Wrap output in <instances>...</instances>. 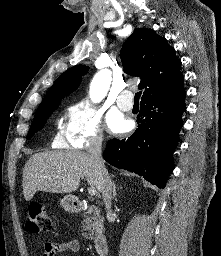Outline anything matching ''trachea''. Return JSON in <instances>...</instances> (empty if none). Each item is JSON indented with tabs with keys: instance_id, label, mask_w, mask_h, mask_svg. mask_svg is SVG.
<instances>
[{
	"instance_id": "obj_1",
	"label": "trachea",
	"mask_w": 221,
	"mask_h": 256,
	"mask_svg": "<svg viewBox=\"0 0 221 256\" xmlns=\"http://www.w3.org/2000/svg\"><path fill=\"white\" fill-rule=\"evenodd\" d=\"M141 97V91L137 92L134 97V102L139 103V99Z\"/></svg>"
}]
</instances>
